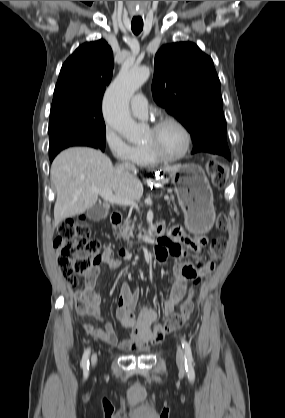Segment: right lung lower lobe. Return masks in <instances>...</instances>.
<instances>
[{"label": "right lung lower lobe", "instance_id": "right-lung-lower-lobe-1", "mask_svg": "<svg viewBox=\"0 0 285 418\" xmlns=\"http://www.w3.org/2000/svg\"><path fill=\"white\" fill-rule=\"evenodd\" d=\"M78 146H89V147H94V148H99L98 146H94V145H90V144H84V145H78ZM100 149V148H99ZM56 156V155H55ZM50 157V161H53L54 157Z\"/></svg>", "mask_w": 285, "mask_h": 418}]
</instances>
